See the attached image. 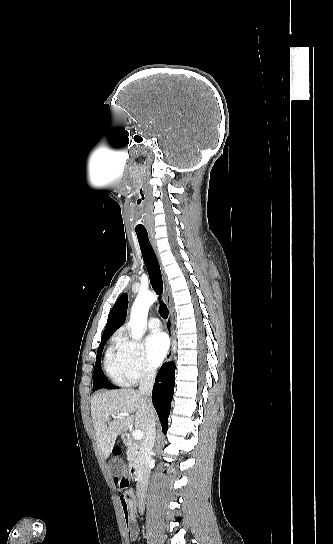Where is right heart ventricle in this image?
I'll return each mask as SVG.
<instances>
[{
  "label": "right heart ventricle",
  "mask_w": 333,
  "mask_h": 544,
  "mask_svg": "<svg viewBox=\"0 0 333 544\" xmlns=\"http://www.w3.org/2000/svg\"><path fill=\"white\" fill-rule=\"evenodd\" d=\"M104 367L108 377L111 380H113L115 383H118V384L126 383L121 371L120 363H119L116 338L113 340L111 346L108 348L106 352L105 359H104Z\"/></svg>",
  "instance_id": "right-heart-ventricle-1"
}]
</instances>
